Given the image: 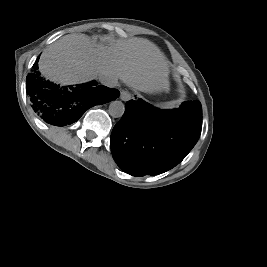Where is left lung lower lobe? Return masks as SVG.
Returning a JSON list of instances; mask_svg holds the SVG:
<instances>
[{
  "instance_id": "1",
  "label": "left lung lower lobe",
  "mask_w": 267,
  "mask_h": 267,
  "mask_svg": "<svg viewBox=\"0 0 267 267\" xmlns=\"http://www.w3.org/2000/svg\"><path fill=\"white\" fill-rule=\"evenodd\" d=\"M202 126L199 101L160 110L139 99L126 103L110 137L117 165L133 176L157 175L179 164L196 144Z\"/></svg>"
}]
</instances>
